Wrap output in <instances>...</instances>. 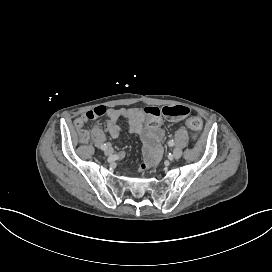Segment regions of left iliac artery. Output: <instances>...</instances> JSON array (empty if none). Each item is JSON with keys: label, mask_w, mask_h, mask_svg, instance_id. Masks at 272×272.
I'll return each instance as SVG.
<instances>
[{"label": "left iliac artery", "mask_w": 272, "mask_h": 272, "mask_svg": "<svg viewBox=\"0 0 272 272\" xmlns=\"http://www.w3.org/2000/svg\"><path fill=\"white\" fill-rule=\"evenodd\" d=\"M168 144H169V146H173V145H174V140H170V141L168 142Z\"/></svg>", "instance_id": "left-iliac-artery-1"}]
</instances>
